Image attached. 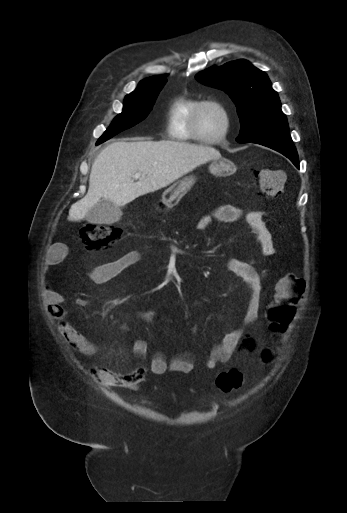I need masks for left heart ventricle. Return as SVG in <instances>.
I'll use <instances>...</instances> for the list:
<instances>
[{
	"instance_id": "b2bd125f",
	"label": "left heart ventricle",
	"mask_w": 347,
	"mask_h": 513,
	"mask_svg": "<svg viewBox=\"0 0 347 513\" xmlns=\"http://www.w3.org/2000/svg\"><path fill=\"white\" fill-rule=\"evenodd\" d=\"M225 120L222 112L213 105L203 108L198 115V129L205 138H214L224 129Z\"/></svg>"
}]
</instances>
